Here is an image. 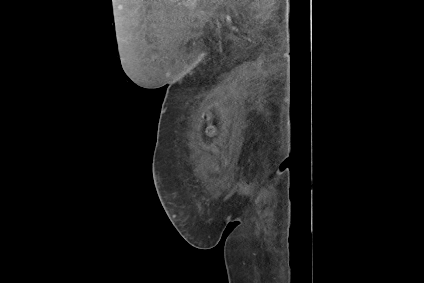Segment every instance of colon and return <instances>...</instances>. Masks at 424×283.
I'll list each match as a JSON object with an SVG mask.
<instances>
[{
  "instance_id": "5ec220e1",
  "label": "colon",
  "mask_w": 424,
  "mask_h": 283,
  "mask_svg": "<svg viewBox=\"0 0 424 283\" xmlns=\"http://www.w3.org/2000/svg\"><path fill=\"white\" fill-rule=\"evenodd\" d=\"M208 120L210 121V117H208ZM207 131L211 134L215 133V127L212 123H209V125L207 127Z\"/></svg>"
}]
</instances>
